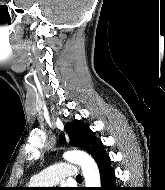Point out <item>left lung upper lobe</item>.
<instances>
[{
	"mask_svg": "<svg viewBox=\"0 0 165 190\" xmlns=\"http://www.w3.org/2000/svg\"><path fill=\"white\" fill-rule=\"evenodd\" d=\"M69 136L70 144L83 148L98 162L106 156L103 143L97 139L93 131L82 121L74 120L64 128ZM65 139L63 138L62 141Z\"/></svg>",
	"mask_w": 165,
	"mask_h": 190,
	"instance_id": "obj_1",
	"label": "left lung upper lobe"
}]
</instances>
